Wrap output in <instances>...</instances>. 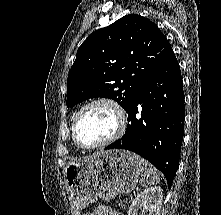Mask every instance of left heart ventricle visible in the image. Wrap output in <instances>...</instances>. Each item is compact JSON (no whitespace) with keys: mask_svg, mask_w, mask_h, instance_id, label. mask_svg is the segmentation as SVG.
<instances>
[{"mask_svg":"<svg viewBox=\"0 0 221 215\" xmlns=\"http://www.w3.org/2000/svg\"><path fill=\"white\" fill-rule=\"evenodd\" d=\"M117 128V116L112 107L96 104L80 116L77 134L82 143L93 145L109 138Z\"/></svg>","mask_w":221,"mask_h":215,"instance_id":"left-heart-ventricle-1","label":"left heart ventricle"}]
</instances>
